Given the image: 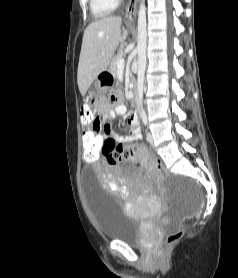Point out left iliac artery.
<instances>
[{"mask_svg": "<svg viewBox=\"0 0 238 278\" xmlns=\"http://www.w3.org/2000/svg\"><path fill=\"white\" fill-rule=\"evenodd\" d=\"M142 120H143L144 124L147 125V116L145 113H142Z\"/></svg>", "mask_w": 238, "mask_h": 278, "instance_id": "44dca946", "label": "left iliac artery"}]
</instances>
